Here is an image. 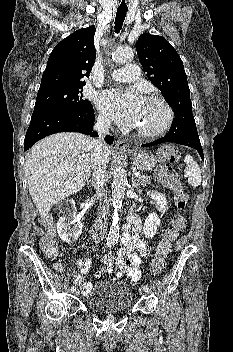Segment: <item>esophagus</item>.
<instances>
[{"instance_id": "obj_1", "label": "esophagus", "mask_w": 233, "mask_h": 352, "mask_svg": "<svg viewBox=\"0 0 233 352\" xmlns=\"http://www.w3.org/2000/svg\"><path fill=\"white\" fill-rule=\"evenodd\" d=\"M116 147H117L118 149H120V150H125V149L128 148V144L126 143L125 140H123V139H118V140L116 141Z\"/></svg>"}]
</instances>
